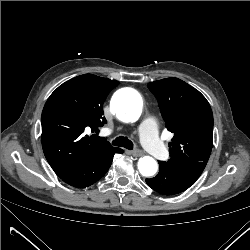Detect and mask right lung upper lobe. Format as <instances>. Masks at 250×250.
Segmentation results:
<instances>
[{
    "mask_svg": "<svg viewBox=\"0 0 250 250\" xmlns=\"http://www.w3.org/2000/svg\"><path fill=\"white\" fill-rule=\"evenodd\" d=\"M116 80L92 74L77 76L60 85L48 98L42 112V147L56 171L83 166L112 147L103 137L85 134L106 123L102 105Z\"/></svg>",
    "mask_w": 250,
    "mask_h": 250,
    "instance_id": "1",
    "label": "right lung upper lobe"
}]
</instances>
